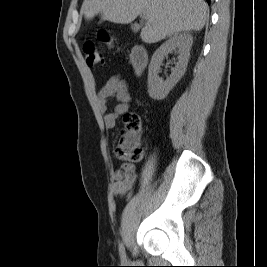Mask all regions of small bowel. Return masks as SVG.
I'll return each instance as SVG.
<instances>
[{
	"instance_id": "obj_1",
	"label": "small bowel",
	"mask_w": 267,
	"mask_h": 267,
	"mask_svg": "<svg viewBox=\"0 0 267 267\" xmlns=\"http://www.w3.org/2000/svg\"><path fill=\"white\" fill-rule=\"evenodd\" d=\"M99 108L103 112L104 125L107 129H113L116 126L117 119L128 112L131 106V94L127 82L114 76L107 80L97 95ZM115 99L117 102L114 110L107 112V103ZM113 193L115 196H129L131 188L135 181L133 168L124 165L120 170L113 172Z\"/></svg>"
}]
</instances>
